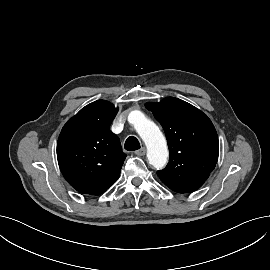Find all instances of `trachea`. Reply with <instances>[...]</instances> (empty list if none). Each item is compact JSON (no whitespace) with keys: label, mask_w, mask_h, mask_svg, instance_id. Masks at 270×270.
<instances>
[{"label":"trachea","mask_w":270,"mask_h":270,"mask_svg":"<svg viewBox=\"0 0 270 270\" xmlns=\"http://www.w3.org/2000/svg\"><path fill=\"white\" fill-rule=\"evenodd\" d=\"M124 147L128 151H135V150L140 149V143L136 137L130 136L125 141Z\"/></svg>","instance_id":"1"}]
</instances>
